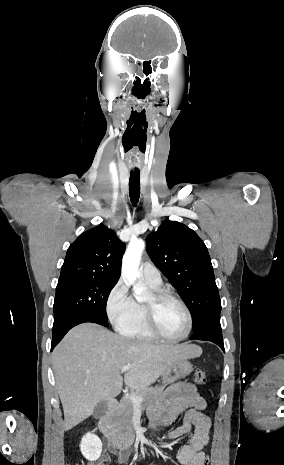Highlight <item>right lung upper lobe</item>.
Instances as JSON below:
<instances>
[{
	"label": "right lung upper lobe",
	"instance_id": "1",
	"mask_svg": "<svg viewBox=\"0 0 284 465\" xmlns=\"http://www.w3.org/2000/svg\"><path fill=\"white\" fill-rule=\"evenodd\" d=\"M125 244L103 224L82 233L68 248L60 278L118 281Z\"/></svg>",
	"mask_w": 284,
	"mask_h": 465
}]
</instances>
